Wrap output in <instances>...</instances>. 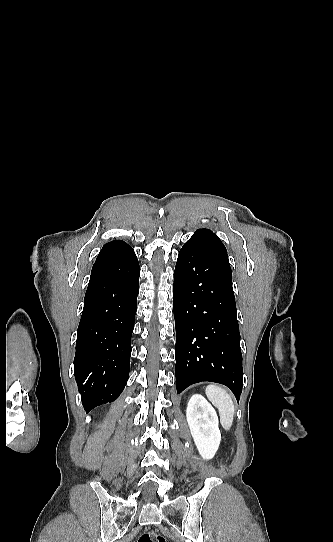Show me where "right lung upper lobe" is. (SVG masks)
<instances>
[{"mask_svg": "<svg viewBox=\"0 0 333 542\" xmlns=\"http://www.w3.org/2000/svg\"><path fill=\"white\" fill-rule=\"evenodd\" d=\"M117 242H121V240H115V241L109 242L107 244H113V243H117Z\"/></svg>", "mask_w": 333, "mask_h": 542, "instance_id": "1", "label": "right lung upper lobe"}]
</instances>
